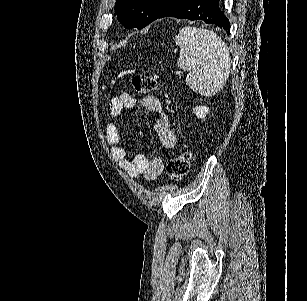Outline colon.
Here are the masks:
<instances>
[{"label":"colon","mask_w":307,"mask_h":301,"mask_svg":"<svg viewBox=\"0 0 307 301\" xmlns=\"http://www.w3.org/2000/svg\"><path fill=\"white\" fill-rule=\"evenodd\" d=\"M132 84L137 94H147L157 87L156 78L151 75L139 74L133 77ZM191 154L184 151L173 157L167 164L168 176L175 181L182 180L190 170Z\"/></svg>","instance_id":"obj_1"}]
</instances>
